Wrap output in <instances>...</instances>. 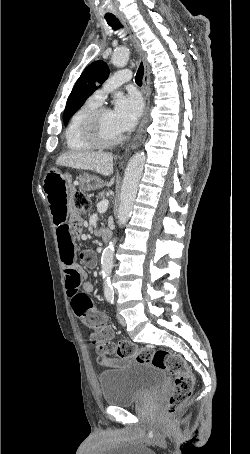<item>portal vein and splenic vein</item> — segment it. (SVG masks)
<instances>
[{
	"instance_id": "1",
	"label": "portal vein and splenic vein",
	"mask_w": 250,
	"mask_h": 454,
	"mask_svg": "<svg viewBox=\"0 0 250 454\" xmlns=\"http://www.w3.org/2000/svg\"><path fill=\"white\" fill-rule=\"evenodd\" d=\"M108 205H109V201L107 199H103L102 201H100L97 204V211L99 213L105 212L107 210V208H108Z\"/></svg>"
}]
</instances>
